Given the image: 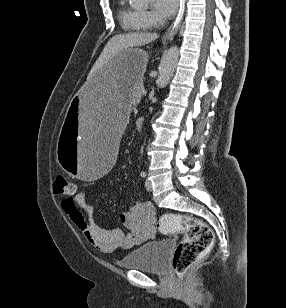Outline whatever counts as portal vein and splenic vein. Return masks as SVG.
Returning a JSON list of instances; mask_svg holds the SVG:
<instances>
[{"label": "portal vein and splenic vein", "instance_id": "1", "mask_svg": "<svg viewBox=\"0 0 286 308\" xmlns=\"http://www.w3.org/2000/svg\"><path fill=\"white\" fill-rule=\"evenodd\" d=\"M146 93H147L146 90L143 88V89H142V94H143V95H146Z\"/></svg>", "mask_w": 286, "mask_h": 308}]
</instances>
